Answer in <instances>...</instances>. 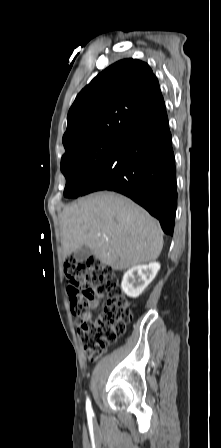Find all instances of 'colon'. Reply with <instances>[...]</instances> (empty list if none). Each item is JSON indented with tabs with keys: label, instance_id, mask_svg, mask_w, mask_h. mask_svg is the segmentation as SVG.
I'll list each match as a JSON object with an SVG mask.
<instances>
[{
	"label": "colon",
	"instance_id": "colon-1",
	"mask_svg": "<svg viewBox=\"0 0 221 448\" xmlns=\"http://www.w3.org/2000/svg\"><path fill=\"white\" fill-rule=\"evenodd\" d=\"M67 292L71 312L79 317L76 333L92 360L125 332L132 314L129 303L122 297L113 270L97 258L84 262L69 259L65 264ZM105 297L102 313L91 317L93 302Z\"/></svg>",
	"mask_w": 221,
	"mask_h": 448
}]
</instances>
